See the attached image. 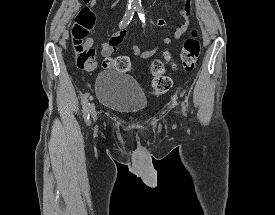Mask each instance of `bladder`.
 I'll use <instances>...</instances> for the list:
<instances>
[{"instance_id": "obj_1", "label": "bladder", "mask_w": 275, "mask_h": 215, "mask_svg": "<svg viewBox=\"0 0 275 215\" xmlns=\"http://www.w3.org/2000/svg\"><path fill=\"white\" fill-rule=\"evenodd\" d=\"M95 89L99 102L107 109L135 115L147 104L137 82L120 72L101 71L97 76Z\"/></svg>"}]
</instances>
